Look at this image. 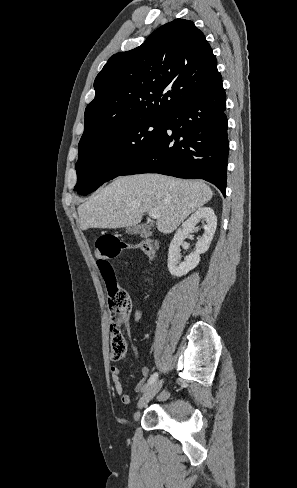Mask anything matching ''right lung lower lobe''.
I'll list each match as a JSON object with an SVG mask.
<instances>
[{
    "label": "right lung lower lobe",
    "mask_w": 297,
    "mask_h": 488,
    "mask_svg": "<svg viewBox=\"0 0 297 488\" xmlns=\"http://www.w3.org/2000/svg\"><path fill=\"white\" fill-rule=\"evenodd\" d=\"M225 110L219 80L170 114L158 138L121 175L160 173L204 179L225 196L229 153Z\"/></svg>",
    "instance_id": "98d812e1"
}]
</instances>
